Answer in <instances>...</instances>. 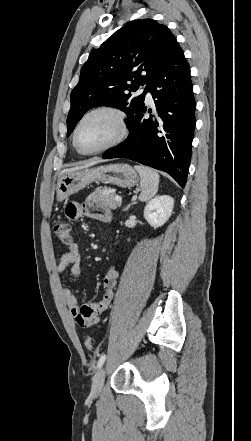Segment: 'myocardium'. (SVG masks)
I'll use <instances>...</instances> for the list:
<instances>
[{
  "instance_id": "f54148a6",
  "label": "myocardium",
  "mask_w": 251,
  "mask_h": 441,
  "mask_svg": "<svg viewBox=\"0 0 251 441\" xmlns=\"http://www.w3.org/2000/svg\"><path fill=\"white\" fill-rule=\"evenodd\" d=\"M101 112L109 113L115 117V119L118 123V126H119V132L111 141H109L105 145H103L97 149L90 150V151L83 150L78 143L79 130H80L82 124L84 123V121L89 116L96 114V113H101ZM128 133H129V127H128L126 114L121 109H119L117 107L110 106V105H101V106H97V107L90 109L89 111L84 113L83 116L80 118V120L78 121V123L74 129L73 144H74V147L76 148V150L80 154L94 155V154L102 153L104 151H107V150L119 145L121 142H123L127 138Z\"/></svg>"
}]
</instances>
